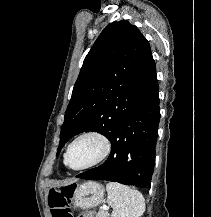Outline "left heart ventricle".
<instances>
[{"mask_svg":"<svg viewBox=\"0 0 211 217\" xmlns=\"http://www.w3.org/2000/svg\"><path fill=\"white\" fill-rule=\"evenodd\" d=\"M103 151L102 142L95 137H85L78 140L71 148L69 162L78 168L96 160Z\"/></svg>","mask_w":211,"mask_h":217,"instance_id":"left-heart-ventricle-1","label":"left heart ventricle"}]
</instances>
